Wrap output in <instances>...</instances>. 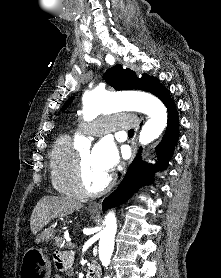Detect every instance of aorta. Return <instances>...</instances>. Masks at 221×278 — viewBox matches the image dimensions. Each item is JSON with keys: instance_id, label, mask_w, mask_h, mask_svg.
Returning a JSON list of instances; mask_svg holds the SVG:
<instances>
[{"instance_id": "aorta-1", "label": "aorta", "mask_w": 221, "mask_h": 278, "mask_svg": "<svg viewBox=\"0 0 221 278\" xmlns=\"http://www.w3.org/2000/svg\"><path fill=\"white\" fill-rule=\"evenodd\" d=\"M118 110H135L148 115L149 119L143 125L139 143L146 145L157 139L167 125V111L163 103L153 95L134 93L125 99L116 98L109 92L94 89L83 97V119L92 121L101 113H111ZM83 143V138H77ZM104 229L99 240V259L104 267H108L114 250V238L117 231V221L114 212L110 211L104 220ZM104 278H110L108 275Z\"/></svg>"}]
</instances>
